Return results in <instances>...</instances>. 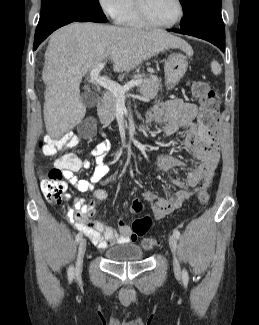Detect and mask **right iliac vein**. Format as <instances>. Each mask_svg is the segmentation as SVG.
<instances>
[{"mask_svg": "<svg viewBox=\"0 0 259 325\" xmlns=\"http://www.w3.org/2000/svg\"><path fill=\"white\" fill-rule=\"evenodd\" d=\"M86 251V240L82 239L78 247V255L76 260L75 274L79 276L82 272L83 258Z\"/></svg>", "mask_w": 259, "mask_h": 325, "instance_id": "63e3f726", "label": "right iliac vein"}]
</instances>
